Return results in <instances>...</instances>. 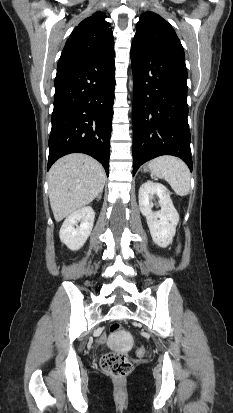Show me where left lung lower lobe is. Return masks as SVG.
<instances>
[{"label": "left lung lower lobe", "instance_id": "left-lung-lower-lobe-1", "mask_svg": "<svg viewBox=\"0 0 233 413\" xmlns=\"http://www.w3.org/2000/svg\"><path fill=\"white\" fill-rule=\"evenodd\" d=\"M131 61L133 176L143 163L161 155L181 158L192 171L185 62L135 45L131 47Z\"/></svg>", "mask_w": 233, "mask_h": 413}]
</instances>
